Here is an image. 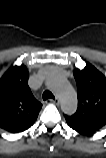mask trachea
Instances as JSON below:
<instances>
[{
  "instance_id": "trachea-1",
  "label": "trachea",
  "mask_w": 106,
  "mask_h": 158,
  "mask_svg": "<svg viewBox=\"0 0 106 158\" xmlns=\"http://www.w3.org/2000/svg\"><path fill=\"white\" fill-rule=\"evenodd\" d=\"M42 98H43L44 101L47 100V99H55L54 95L48 90L43 92Z\"/></svg>"
}]
</instances>
